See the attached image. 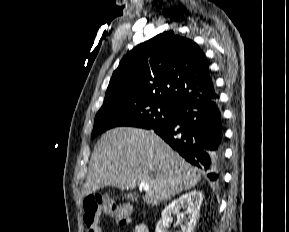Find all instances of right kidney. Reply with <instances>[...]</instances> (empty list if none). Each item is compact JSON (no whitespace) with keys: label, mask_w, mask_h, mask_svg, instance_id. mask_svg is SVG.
<instances>
[{"label":"right kidney","mask_w":289,"mask_h":232,"mask_svg":"<svg viewBox=\"0 0 289 232\" xmlns=\"http://www.w3.org/2000/svg\"><path fill=\"white\" fill-rule=\"evenodd\" d=\"M202 201V192L197 190L181 195L162 211L161 219L156 225L155 232H168L167 229L172 221V215L178 214L181 208H186V214L188 215L186 224L181 227V232H193L199 217Z\"/></svg>","instance_id":"right-kidney-1"}]
</instances>
